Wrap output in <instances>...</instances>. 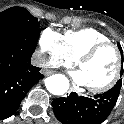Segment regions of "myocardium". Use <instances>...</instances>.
Masks as SVG:
<instances>
[{"label":"myocardium","mask_w":124,"mask_h":124,"mask_svg":"<svg viewBox=\"0 0 124 124\" xmlns=\"http://www.w3.org/2000/svg\"><path fill=\"white\" fill-rule=\"evenodd\" d=\"M106 48H112L114 49L116 53V70L112 76V78L105 84L101 86H96V87H89L87 86L88 91L92 93H104L110 89H112L121 79L122 73L124 70V57L123 53L120 50V48L112 42H103L94 45L92 48H90L86 53H84L78 60H77V67L80 69L81 66L88 62L89 60L93 59L99 52Z\"/></svg>","instance_id":"obj_1"}]
</instances>
